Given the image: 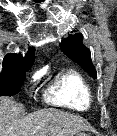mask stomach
<instances>
[{
    "mask_svg": "<svg viewBox=\"0 0 117 136\" xmlns=\"http://www.w3.org/2000/svg\"><path fill=\"white\" fill-rule=\"evenodd\" d=\"M76 136H87L85 133H83V132H78L77 134H76Z\"/></svg>",
    "mask_w": 117,
    "mask_h": 136,
    "instance_id": "stomach-1",
    "label": "stomach"
}]
</instances>
